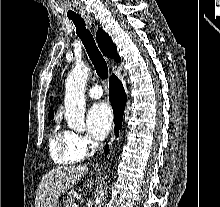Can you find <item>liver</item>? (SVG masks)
I'll use <instances>...</instances> for the list:
<instances>
[{
  "label": "liver",
  "mask_w": 220,
  "mask_h": 207,
  "mask_svg": "<svg viewBox=\"0 0 220 207\" xmlns=\"http://www.w3.org/2000/svg\"><path fill=\"white\" fill-rule=\"evenodd\" d=\"M87 173V165L60 166L48 171L38 186L35 207H55L61 194Z\"/></svg>",
  "instance_id": "obj_1"
}]
</instances>
